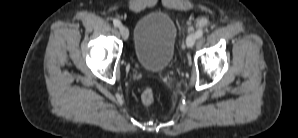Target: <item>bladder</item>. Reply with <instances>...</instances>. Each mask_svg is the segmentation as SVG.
<instances>
[{
    "label": "bladder",
    "instance_id": "31cf9c89",
    "mask_svg": "<svg viewBox=\"0 0 298 138\" xmlns=\"http://www.w3.org/2000/svg\"><path fill=\"white\" fill-rule=\"evenodd\" d=\"M177 28L172 17L161 11L142 17L134 31L133 51L137 63L149 71L161 72L172 62Z\"/></svg>",
    "mask_w": 298,
    "mask_h": 138
}]
</instances>
